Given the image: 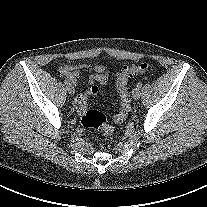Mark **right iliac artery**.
Masks as SVG:
<instances>
[{"label": "right iliac artery", "mask_w": 207, "mask_h": 207, "mask_svg": "<svg viewBox=\"0 0 207 207\" xmlns=\"http://www.w3.org/2000/svg\"><path fill=\"white\" fill-rule=\"evenodd\" d=\"M64 84H65V85H69V84H70L69 80L65 79V80H64Z\"/></svg>", "instance_id": "1"}]
</instances>
